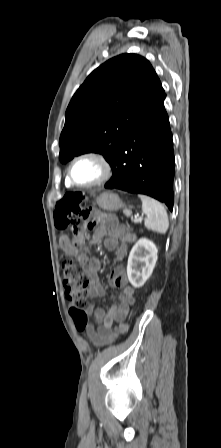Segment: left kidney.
Returning <instances> with one entry per match:
<instances>
[{
    "label": "left kidney",
    "instance_id": "5707ae66",
    "mask_svg": "<svg viewBox=\"0 0 221 448\" xmlns=\"http://www.w3.org/2000/svg\"><path fill=\"white\" fill-rule=\"evenodd\" d=\"M156 245L146 239H139L132 247L127 263L129 282L135 287H142L151 276L158 259Z\"/></svg>",
    "mask_w": 221,
    "mask_h": 448
}]
</instances>
